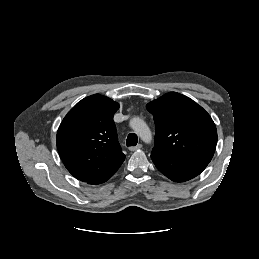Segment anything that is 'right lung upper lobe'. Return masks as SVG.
Instances as JSON below:
<instances>
[{
    "label": "right lung upper lobe",
    "instance_id": "1",
    "mask_svg": "<svg viewBox=\"0 0 259 259\" xmlns=\"http://www.w3.org/2000/svg\"><path fill=\"white\" fill-rule=\"evenodd\" d=\"M119 104L100 94L79 101L57 131V149L67 170L89 184L114 174L125 160L113 116Z\"/></svg>",
    "mask_w": 259,
    "mask_h": 259
}]
</instances>
